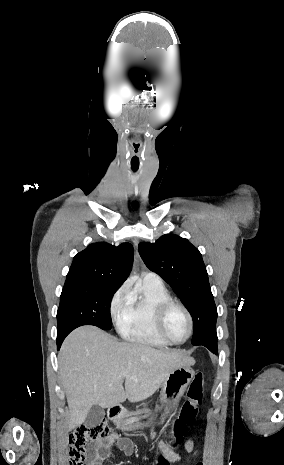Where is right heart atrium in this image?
<instances>
[{"label":"right heart atrium","instance_id":"right-heart-atrium-1","mask_svg":"<svg viewBox=\"0 0 284 465\" xmlns=\"http://www.w3.org/2000/svg\"><path fill=\"white\" fill-rule=\"evenodd\" d=\"M132 296L133 294L126 283L113 293L109 301V312L112 317H117L121 309L131 300Z\"/></svg>","mask_w":284,"mask_h":465}]
</instances>
